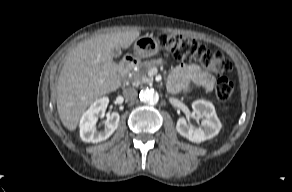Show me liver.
<instances>
[{
  "mask_svg": "<svg viewBox=\"0 0 292 192\" xmlns=\"http://www.w3.org/2000/svg\"><path fill=\"white\" fill-rule=\"evenodd\" d=\"M140 32L101 34L79 43L68 54L57 85V111L62 124L74 131L98 98L121 86L112 49H127Z\"/></svg>",
  "mask_w": 292,
  "mask_h": 192,
  "instance_id": "liver-1",
  "label": "liver"
}]
</instances>
